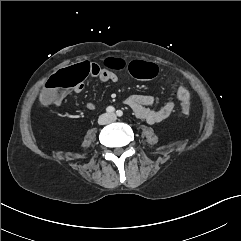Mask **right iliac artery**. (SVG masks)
Masks as SVG:
<instances>
[{
  "label": "right iliac artery",
  "mask_w": 241,
  "mask_h": 241,
  "mask_svg": "<svg viewBox=\"0 0 241 241\" xmlns=\"http://www.w3.org/2000/svg\"><path fill=\"white\" fill-rule=\"evenodd\" d=\"M106 111H107L108 113H114V112H115V108H114L113 106H108V107L106 108Z\"/></svg>",
  "instance_id": "82829eb1"
}]
</instances>
